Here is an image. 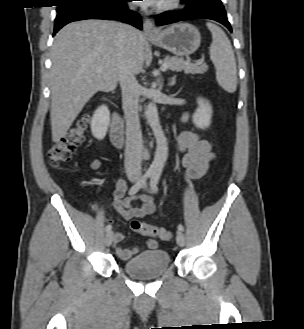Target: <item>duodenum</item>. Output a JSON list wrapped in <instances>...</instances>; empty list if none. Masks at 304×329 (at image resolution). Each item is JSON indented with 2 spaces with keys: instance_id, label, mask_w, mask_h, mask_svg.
I'll use <instances>...</instances> for the list:
<instances>
[{
  "instance_id": "duodenum-1",
  "label": "duodenum",
  "mask_w": 304,
  "mask_h": 329,
  "mask_svg": "<svg viewBox=\"0 0 304 329\" xmlns=\"http://www.w3.org/2000/svg\"><path fill=\"white\" fill-rule=\"evenodd\" d=\"M110 136L112 142L117 147H123L125 145V132L124 123L121 116L117 112H112L110 115Z\"/></svg>"
}]
</instances>
